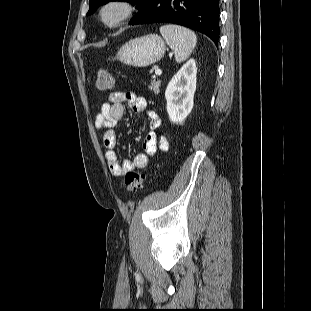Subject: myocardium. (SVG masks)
Here are the masks:
<instances>
[{
  "instance_id": "myocardium-1",
  "label": "myocardium",
  "mask_w": 311,
  "mask_h": 311,
  "mask_svg": "<svg viewBox=\"0 0 311 311\" xmlns=\"http://www.w3.org/2000/svg\"><path fill=\"white\" fill-rule=\"evenodd\" d=\"M133 12L134 7L129 1L109 0L101 6L99 18L106 27L116 28L127 21Z\"/></svg>"
}]
</instances>
